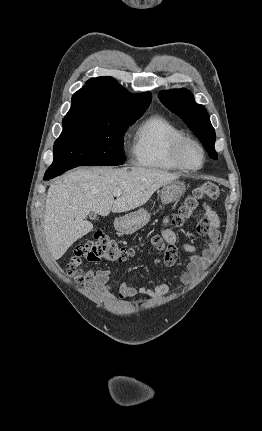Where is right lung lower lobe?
<instances>
[{
	"label": "right lung lower lobe",
	"mask_w": 262,
	"mask_h": 431,
	"mask_svg": "<svg viewBox=\"0 0 262 431\" xmlns=\"http://www.w3.org/2000/svg\"><path fill=\"white\" fill-rule=\"evenodd\" d=\"M76 166H71V167H65V168H59V169H51L49 168L46 172H45V176H44V180H49L52 179L62 173H64L67 170H70L72 168H75Z\"/></svg>",
	"instance_id": "right-lung-lower-lobe-1"
}]
</instances>
